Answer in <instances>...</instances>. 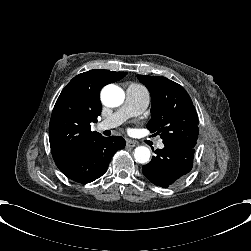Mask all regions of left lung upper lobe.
I'll return each mask as SVG.
<instances>
[{
  "label": "left lung upper lobe",
  "instance_id": "left-lung-upper-lobe-1",
  "mask_svg": "<svg viewBox=\"0 0 251 251\" xmlns=\"http://www.w3.org/2000/svg\"><path fill=\"white\" fill-rule=\"evenodd\" d=\"M137 78L151 94L152 118L147 128L160 134L166 147L195 148L198 115L186 90L165 77L137 75Z\"/></svg>",
  "mask_w": 251,
  "mask_h": 251
}]
</instances>
